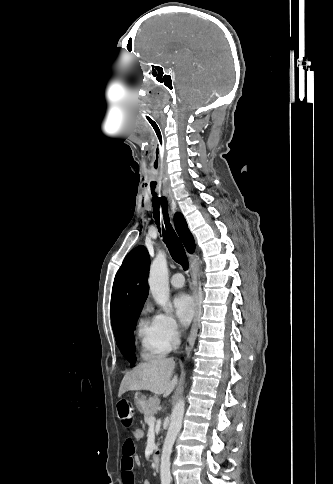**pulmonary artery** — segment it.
Returning <instances> with one entry per match:
<instances>
[{
  "instance_id": "e3ab8cb5",
  "label": "pulmonary artery",
  "mask_w": 333,
  "mask_h": 484,
  "mask_svg": "<svg viewBox=\"0 0 333 484\" xmlns=\"http://www.w3.org/2000/svg\"><path fill=\"white\" fill-rule=\"evenodd\" d=\"M170 282H171V285L175 288H181L184 286V283H185V279H184V276L177 272V273H174L171 278H170Z\"/></svg>"
}]
</instances>
